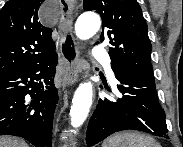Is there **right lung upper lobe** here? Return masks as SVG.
Instances as JSON below:
<instances>
[{"instance_id":"right-lung-upper-lobe-1","label":"right lung upper lobe","mask_w":183,"mask_h":147,"mask_svg":"<svg viewBox=\"0 0 183 147\" xmlns=\"http://www.w3.org/2000/svg\"><path fill=\"white\" fill-rule=\"evenodd\" d=\"M43 0H9L0 11V77L52 57V29L38 20Z\"/></svg>"}]
</instances>
